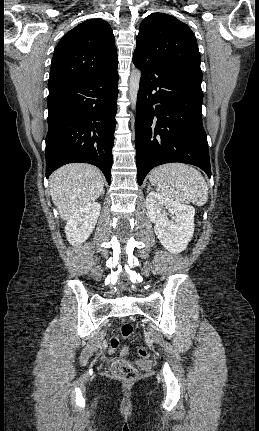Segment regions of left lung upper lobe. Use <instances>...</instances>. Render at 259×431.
Masks as SVG:
<instances>
[{"label": "left lung upper lobe", "instance_id": "left-lung-upper-lobe-1", "mask_svg": "<svg viewBox=\"0 0 259 431\" xmlns=\"http://www.w3.org/2000/svg\"><path fill=\"white\" fill-rule=\"evenodd\" d=\"M134 53L202 81L196 37L188 25L171 15L152 13L141 22Z\"/></svg>", "mask_w": 259, "mask_h": 431}]
</instances>
